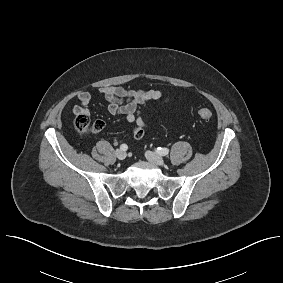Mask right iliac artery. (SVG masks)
I'll return each instance as SVG.
<instances>
[{
	"label": "right iliac artery",
	"instance_id": "obj_1",
	"mask_svg": "<svg viewBox=\"0 0 283 283\" xmlns=\"http://www.w3.org/2000/svg\"><path fill=\"white\" fill-rule=\"evenodd\" d=\"M120 149L123 150V151H126L128 149V146L126 144H122L120 146Z\"/></svg>",
	"mask_w": 283,
	"mask_h": 283
}]
</instances>
